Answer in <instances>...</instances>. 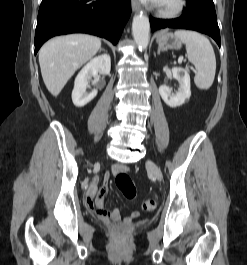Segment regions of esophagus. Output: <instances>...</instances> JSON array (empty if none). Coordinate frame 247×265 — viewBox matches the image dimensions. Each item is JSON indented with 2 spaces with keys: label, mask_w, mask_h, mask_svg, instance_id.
I'll return each mask as SVG.
<instances>
[{
  "label": "esophagus",
  "mask_w": 247,
  "mask_h": 265,
  "mask_svg": "<svg viewBox=\"0 0 247 265\" xmlns=\"http://www.w3.org/2000/svg\"><path fill=\"white\" fill-rule=\"evenodd\" d=\"M132 9H133V11H135V12H137V11H139L140 10V4H139V2H138V0H132Z\"/></svg>",
  "instance_id": "obj_1"
}]
</instances>
